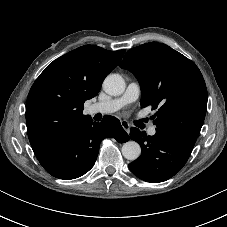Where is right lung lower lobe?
Instances as JSON below:
<instances>
[{
  "instance_id": "98d812e1",
  "label": "right lung lower lobe",
  "mask_w": 227,
  "mask_h": 227,
  "mask_svg": "<svg viewBox=\"0 0 227 227\" xmlns=\"http://www.w3.org/2000/svg\"><path fill=\"white\" fill-rule=\"evenodd\" d=\"M109 137L116 140L119 137L129 139L117 118L107 115L100 123L90 119L63 138L38 161L49 174L56 178H78L93 167L100 142Z\"/></svg>"
}]
</instances>
